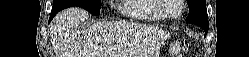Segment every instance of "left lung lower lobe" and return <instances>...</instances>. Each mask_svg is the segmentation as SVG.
I'll list each match as a JSON object with an SVG mask.
<instances>
[{"instance_id": "0a47b994", "label": "left lung lower lobe", "mask_w": 249, "mask_h": 57, "mask_svg": "<svg viewBox=\"0 0 249 57\" xmlns=\"http://www.w3.org/2000/svg\"><path fill=\"white\" fill-rule=\"evenodd\" d=\"M198 26H201L204 29L205 33H207L209 25H198Z\"/></svg>"}]
</instances>
